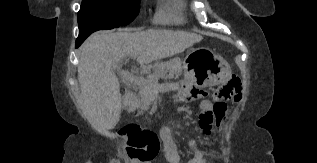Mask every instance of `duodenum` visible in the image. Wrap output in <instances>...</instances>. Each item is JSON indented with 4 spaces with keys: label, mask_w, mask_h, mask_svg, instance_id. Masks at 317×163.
<instances>
[{
    "label": "duodenum",
    "mask_w": 317,
    "mask_h": 163,
    "mask_svg": "<svg viewBox=\"0 0 317 163\" xmlns=\"http://www.w3.org/2000/svg\"><path fill=\"white\" fill-rule=\"evenodd\" d=\"M135 94L133 91H127L124 94L123 102L125 106H129L134 100Z\"/></svg>",
    "instance_id": "obj_1"
}]
</instances>
